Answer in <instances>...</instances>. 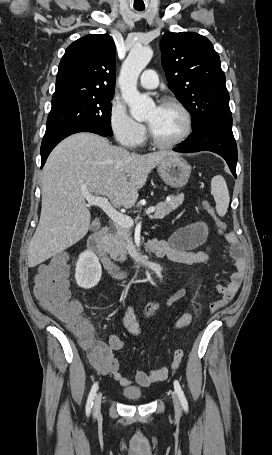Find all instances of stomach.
I'll use <instances>...</instances> for the list:
<instances>
[{
  "label": "stomach",
  "mask_w": 272,
  "mask_h": 455,
  "mask_svg": "<svg viewBox=\"0 0 272 455\" xmlns=\"http://www.w3.org/2000/svg\"><path fill=\"white\" fill-rule=\"evenodd\" d=\"M157 172L166 184L181 188L190 178L191 167L179 155H170L157 164Z\"/></svg>",
  "instance_id": "1"
}]
</instances>
